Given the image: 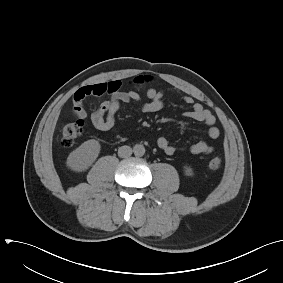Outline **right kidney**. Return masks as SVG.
I'll use <instances>...</instances> for the list:
<instances>
[{
	"instance_id": "ca27d5eb",
	"label": "right kidney",
	"mask_w": 283,
	"mask_h": 283,
	"mask_svg": "<svg viewBox=\"0 0 283 283\" xmlns=\"http://www.w3.org/2000/svg\"><path fill=\"white\" fill-rule=\"evenodd\" d=\"M100 153V144L91 139L81 144L67 158V166L74 171H84L92 165Z\"/></svg>"
}]
</instances>
